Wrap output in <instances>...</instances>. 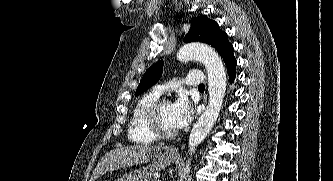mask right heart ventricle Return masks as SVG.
I'll return each instance as SVG.
<instances>
[{"label":"right heart ventricle","instance_id":"right-heart-ventricle-1","mask_svg":"<svg viewBox=\"0 0 333 181\" xmlns=\"http://www.w3.org/2000/svg\"><path fill=\"white\" fill-rule=\"evenodd\" d=\"M159 97L160 95L152 91L141 96L136 102L128 127V138L131 142L151 144L156 140V137L147 128L146 113Z\"/></svg>","mask_w":333,"mask_h":181}]
</instances>
